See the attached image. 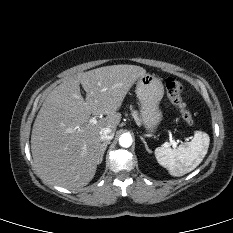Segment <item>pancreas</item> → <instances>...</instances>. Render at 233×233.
<instances>
[{"label":"pancreas","instance_id":"cf45deb5","mask_svg":"<svg viewBox=\"0 0 233 233\" xmlns=\"http://www.w3.org/2000/svg\"><path fill=\"white\" fill-rule=\"evenodd\" d=\"M130 110H131V114H132L134 120L136 121V123L140 124L141 120L138 116V112L136 110H133L132 107H130Z\"/></svg>","mask_w":233,"mask_h":233}]
</instances>
